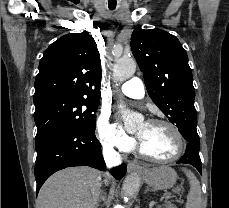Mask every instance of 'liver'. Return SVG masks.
Segmentation results:
<instances>
[{
    "label": "liver",
    "mask_w": 229,
    "mask_h": 208,
    "mask_svg": "<svg viewBox=\"0 0 229 208\" xmlns=\"http://www.w3.org/2000/svg\"><path fill=\"white\" fill-rule=\"evenodd\" d=\"M102 176L93 168H66L43 184L36 208H97Z\"/></svg>",
    "instance_id": "1"
}]
</instances>
